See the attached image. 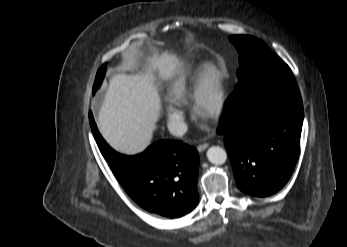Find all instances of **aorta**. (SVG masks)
<instances>
[{"mask_svg": "<svg viewBox=\"0 0 347 247\" xmlns=\"http://www.w3.org/2000/svg\"><path fill=\"white\" fill-rule=\"evenodd\" d=\"M207 158L212 164L222 165L227 160V153L219 146H211L207 150Z\"/></svg>", "mask_w": 347, "mask_h": 247, "instance_id": "1", "label": "aorta"}]
</instances>
